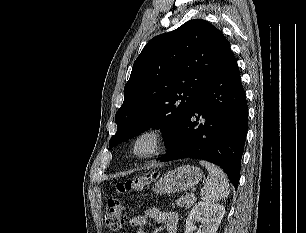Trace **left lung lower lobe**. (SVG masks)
<instances>
[{"mask_svg": "<svg viewBox=\"0 0 306 233\" xmlns=\"http://www.w3.org/2000/svg\"><path fill=\"white\" fill-rule=\"evenodd\" d=\"M204 122L199 124V120ZM248 125L246 95L237 61L230 51L221 68L198 97L187 119L157 158H200L220 166L235 188Z\"/></svg>", "mask_w": 306, "mask_h": 233, "instance_id": "obj_1", "label": "left lung lower lobe"}]
</instances>
